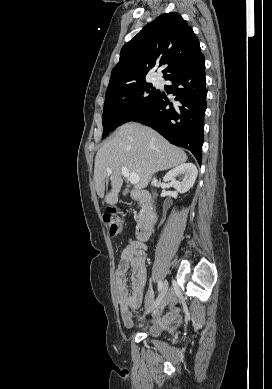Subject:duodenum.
<instances>
[{"label": "duodenum", "instance_id": "410a0bca", "mask_svg": "<svg viewBox=\"0 0 272 389\" xmlns=\"http://www.w3.org/2000/svg\"><path fill=\"white\" fill-rule=\"evenodd\" d=\"M131 195L135 200L141 203L144 209V214L138 223L136 231L138 241L143 242L152 234L155 228L157 214L154 208L153 199L149 192L145 190H134Z\"/></svg>", "mask_w": 272, "mask_h": 389}]
</instances>
